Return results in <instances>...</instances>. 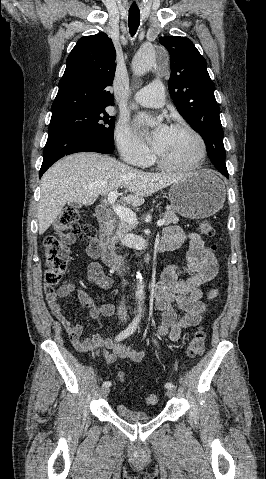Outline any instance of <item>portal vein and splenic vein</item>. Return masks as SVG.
<instances>
[{"mask_svg":"<svg viewBox=\"0 0 266 479\" xmlns=\"http://www.w3.org/2000/svg\"><path fill=\"white\" fill-rule=\"evenodd\" d=\"M118 197V192L117 191H112L108 194L107 201L109 204L112 205V209L117 214L122 220L125 222L135 225L137 224V217L136 214L130 210L129 208H126L124 206L115 204L116 199ZM165 224V219H160L157 222L158 226H163Z\"/></svg>","mask_w":266,"mask_h":479,"instance_id":"18ae733b","label":"portal vein and splenic vein"}]
</instances>
